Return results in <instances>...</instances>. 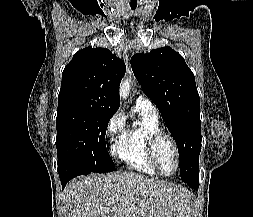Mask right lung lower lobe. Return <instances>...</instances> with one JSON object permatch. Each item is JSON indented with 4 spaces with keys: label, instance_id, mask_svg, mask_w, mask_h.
<instances>
[{
    "label": "right lung lower lobe",
    "instance_id": "1",
    "mask_svg": "<svg viewBox=\"0 0 253 217\" xmlns=\"http://www.w3.org/2000/svg\"><path fill=\"white\" fill-rule=\"evenodd\" d=\"M58 173H59L60 180L62 183V188H64L70 179L74 178L75 176H78L81 174H87L90 172L80 169L78 167H75V165H72L70 168H68V166L65 165V166H58Z\"/></svg>",
    "mask_w": 253,
    "mask_h": 217
}]
</instances>
